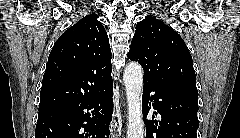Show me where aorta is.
I'll list each match as a JSON object with an SVG mask.
<instances>
[{
  "label": "aorta",
  "instance_id": "obj_1",
  "mask_svg": "<svg viewBox=\"0 0 240 138\" xmlns=\"http://www.w3.org/2000/svg\"><path fill=\"white\" fill-rule=\"evenodd\" d=\"M123 78L128 103L127 138H144L142 120L143 70L141 65L130 62L125 67Z\"/></svg>",
  "mask_w": 240,
  "mask_h": 138
}]
</instances>
